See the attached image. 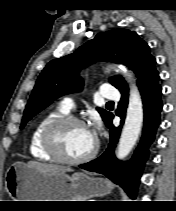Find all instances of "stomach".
<instances>
[{
    "label": "stomach",
    "instance_id": "1",
    "mask_svg": "<svg viewBox=\"0 0 176 211\" xmlns=\"http://www.w3.org/2000/svg\"><path fill=\"white\" fill-rule=\"evenodd\" d=\"M5 188L14 201H84L111 192L110 183L103 178L40 171L22 162L7 169Z\"/></svg>",
    "mask_w": 176,
    "mask_h": 211
}]
</instances>
